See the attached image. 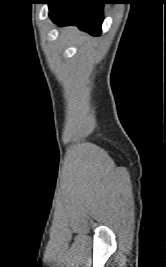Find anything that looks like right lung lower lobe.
I'll use <instances>...</instances> for the list:
<instances>
[{
	"label": "right lung lower lobe",
	"instance_id": "98d812e1",
	"mask_svg": "<svg viewBox=\"0 0 166 267\" xmlns=\"http://www.w3.org/2000/svg\"><path fill=\"white\" fill-rule=\"evenodd\" d=\"M106 0H51L49 16L54 23L76 25L94 36L101 34L103 4Z\"/></svg>",
	"mask_w": 166,
	"mask_h": 267
}]
</instances>
